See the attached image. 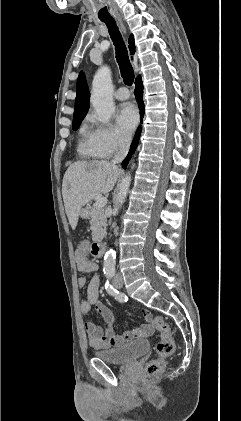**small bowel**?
I'll return each mask as SVG.
<instances>
[{
    "mask_svg": "<svg viewBox=\"0 0 241 421\" xmlns=\"http://www.w3.org/2000/svg\"><path fill=\"white\" fill-rule=\"evenodd\" d=\"M76 265L78 271L85 274H91L89 281L84 276L78 278L79 288L86 287L85 298L81 302L80 310L82 316L85 318V330L88 335V341L92 348L108 349L118 347L125 342L149 336L154 332V327L151 324V317L147 310L143 311L146 322L140 327L125 331L121 335H117L114 331V316L112 311L99 300V284L98 264L89 259L86 255L76 253ZM92 310H96L102 317L106 324V328L98 326L91 318Z\"/></svg>",
    "mask_w": 241,
    "mask_h": 421,
    "instance_id": "c3829d8e",
    "label": "small bowel"
}]
</instances>
